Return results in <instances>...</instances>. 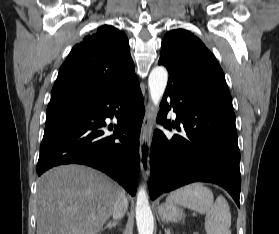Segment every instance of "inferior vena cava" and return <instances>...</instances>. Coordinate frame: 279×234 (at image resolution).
Listing matches in <instances>:
<instances>
[{"mask_svg": "<svg viewBox=\"0 0 279 234\" xmlns=\"http://www.w3.org/2000/svg\"><path fill=\"white\" fill-rule=\"evenodd\" d=\"M128 205V201L127 198L125 196L124 192H121L115 203H114V207H113V211H112V216L114 219H121L124 214H125V210L127 208Z\"/></svg>", "mask_w": 279, "mask_h": 234, "instance_id": "inferior-vena-cava-1", "label": "inferior vena cava"}]
</instances>
